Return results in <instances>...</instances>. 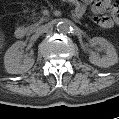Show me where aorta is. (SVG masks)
Instances as JSON below:
<instances>
[{"mask_svg":"<svg viewBox=\"0 0 119 119\" xmlns=\"http://www.w3.org/2000/svg\"><path fill=\"white\" fill-rule=\"evenodd\" d=\"M57 30L60 33H68L71 30V24L67 20H62L57 24Z\"/></svg>","mask_w":119,"mask_h":119,"instance_id":"obj_1","label":"aorta"}]
</instances>
